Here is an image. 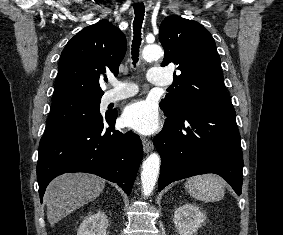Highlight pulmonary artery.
Segmentation results:
<instances>
[{"instance_id":"pulmonary-artery-1","label":"pulmonary artery","mask_w":283,"mask_h":235,"mask_svg":"<svg viewBox=\"0 0 283 235\" xmlns=\"http://www.w3.org/2000/svg\"><path fill=\"white\" fill-rule=\"evenodd\" d=\"M147 79L150 83L157 86H166L169 84V80L166 74L159 69L151 68L147 75ZM111 85L116 89L106 92L103 96V103L108 104L116 101H120L137 94L138 87L130 82H124L119 80H113Z\"/></svg>"}]
</instances>
